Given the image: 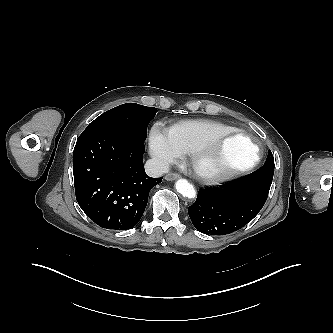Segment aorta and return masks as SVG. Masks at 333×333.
Listing matches in <instances>:
<instances>
[{
  "instance_id": "762f6f07",
  "label": "aorta",
  "mask_w": 333,
  "mask_h": 333,
  "mask_svg": "<svg viewBox=\"0 0 333 333\" xmlns=\"http://www.w3.org/2000/svg\"><path fill=\"white\" fill-rule=\"evenodd\" d=\"M175 188L178 193L187 198H194L196 196L195 188L186 179H179L175 183Z\"/></svg>"
}]
</instances>
